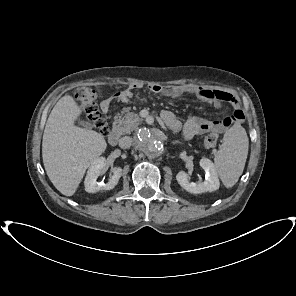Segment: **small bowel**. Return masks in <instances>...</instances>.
<instances>
[{"mask_svg": "<svg viewBox=\"0 0 296 296\" xmlns=\"http://www.w3.org/2000/svg\"><path fill=\"white\" fill-rule=\"evenodd\" d=\"M139 88L133 85L127 89L115 93L112 97L104 100L101 103L103 111H107L113 101L127 102L133 96V90ZM148 88L156 93L169 98H177L188 95L195 96L202 101L213 104L216 108H221L223 103H229L233 107V114L219 120H206L197 116L190 117L183 125L182 133L185 139L189 140L193 137L209 132H224L230 126L240 123L244 119V113L239 105L237 98L229 92L209 89L206 87L197 86L194 84H184L176 86H161L158 84H151ZM163 122L173 130L180 127V122L176 116L168 110L162 112Z\"/></svg>", "mask_w": 296, "mask_h": 296, "instance_id": "obj_1", "label": "small bowel"}]
</instances>
